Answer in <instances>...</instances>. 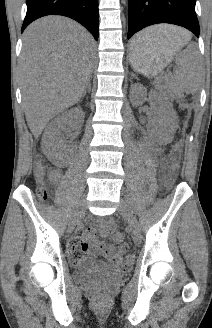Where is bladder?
I'll list each match as a JSON object with an SVG mask.
<instances>
[{"instance_id": "31cf9c89", "label": "bladder", "mask_w": 212, "mask_h": 328, "mask_svg": "<svg viewBox=\"0 0 212 328\" xmlns=\"http://www.w3.org/2000/svg\"><path fill=\"white\" fill-rule=\"evenodd\" d=\"M118 278H120L119 274L97 272L89 261L81 262L74 272V279L79 284H93L103 280Z\"/></svg>"}]
</instances>
